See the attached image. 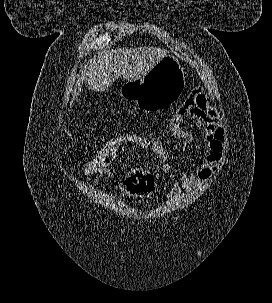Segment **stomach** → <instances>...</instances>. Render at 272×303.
<instances>
[{
    "label": "stomach",
    "mask_w": 272,
    "mask_h": 303,
    "mask_svg": "<svg viewBox=\"0 0 272 303\" xmlns=\"http://www.w3.org/2000/svg\"><path fill=\"white\" fill-rule=\"evenodd\" d=\"M185 88L183 69L176 57L166 55L144 77L126 82L122 97L145 110H157L176 101Z\"/></svg>",
    "instance_id": "0dacf381"
}]
</instances>
